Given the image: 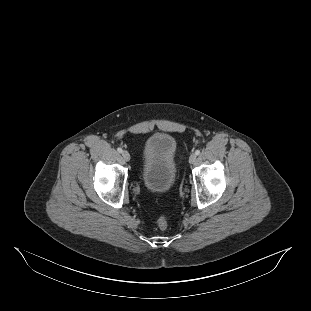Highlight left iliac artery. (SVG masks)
Returning <instances> with one entry per match:
<instances>
[{
  "instance_id": "left-iliac-artery-1",
  "label": "left iliac artery",
  "mask_w": 311,
  "mask_h": 311,
  "mask_svg": "<svg viewBox=\"0 0 311 311\" xmlns=\"http://www.w3.org/2000/svg\"><path fill=\"white\" fill-rule=\"evenodd\" d=\"M195 154H196V155H199V154H200V150H196V151H195Z\"/></svg>"
}]
</instances>
